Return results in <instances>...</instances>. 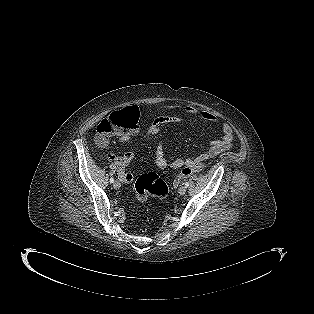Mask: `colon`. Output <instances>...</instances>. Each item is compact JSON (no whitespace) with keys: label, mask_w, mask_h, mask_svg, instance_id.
Listing matches in <instances>:
<instances>
[{"label":"colon","mask_w":314,"mask_h":314,"mask_svg":"<svg viewBox=\"0 0 314 314\" xmlns=\"http://www.w3.org/2000/svg\"><path fill=\"white\" fill-rule=\"evenodd\" d=\"M139 111L135 106H128L113 112L108 118L104 119L97 128V139L105 141L113 133H130L138 128ZM204 161L186 166L176 176L175 182L179 183L193 173L201 170ZM168 194L167 184L153 172L141 173L135 182V196L137 201H145L149 197L164 199Z\"/></svg>","instance_id":"5ec220e1"}]
</instances>
